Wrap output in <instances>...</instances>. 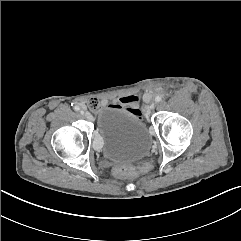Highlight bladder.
<instances>
[{
	"label": "bladder",
	"instance_id": "obj_1",
	"mask_svg": "<svg viewBox=\"0 0 241 241\" xmlns=\"http://www.w3.org/2000/svg\"><path fill=\"white\" fill-rule=\"evenodd\" d=\"M96 136L103 155L114 162L142 159L151 148V138L142 120L113 105L99 111Z\"/></svg>",
	"mask_w": 241,
	"mask_h": 241
}]
</instances>
